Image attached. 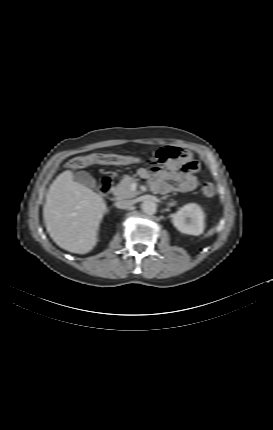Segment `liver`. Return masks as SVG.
<instances>
[{"label":"liver","instance_id":"obj_1","mask_svg":"<svg viewBox=\"0 0 273 430\" xmlns=\"http://www.w3.org/2000/svg\"><path fill=\"white\" fill-rule=\"evenodd\" d=\"M70 170L53 181L46 194L43 218L46 230L61 248L78 254L90 252L106 212L103 198L73 180Z\"/></svg>","mask_w":273,"mask_h":430}]
</instances>
